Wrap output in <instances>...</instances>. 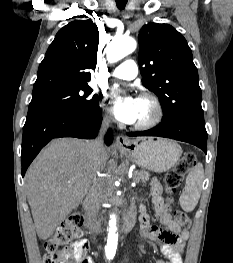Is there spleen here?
I'll return each instance as SVG.
<instances>
[{"label":"spleen","instance_id":"spleen-1","mask_svg":"<svg viewBox=\"0 0 233 263\" xmlns=\"http://www.w3.org/2000/svg\"><path fill=\"white\" fill-rule=\"evenodd\" d=\"M203 179V165L198 163L187 175L184 192L179 198L180 205L184 211L191 212L196 207L200 198Z\"/></svg>","mask_w":233,"mask_h":263}]
</instances>
